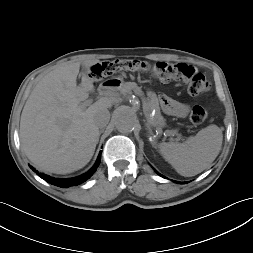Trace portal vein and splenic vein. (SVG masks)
Instances as JSON below:
<instances>
[{
    "label": "portal vein and splenic vein",
    "instance_id": "18ae733b",
    "mask_svg": "<svg viewBox=\"0 0 253 253\" xmlns=\"http://www.w3.org/2000/svg\"><path fill=\"white\" fill-rule=\"evenodd\" d=\"M140 95V94H139ZM141 96V95H140ZM143 101V111L144 114L146 115L148 122L150 124H156L154 121V118L149 114V108H148V104L144 101V99L142 98ZM92 103V100H86L83 104L82 107L86 108L87 106H89Z\"/></svg>",
    "mask_w": 253,
    "mask_h": 253
}]
</instances>
